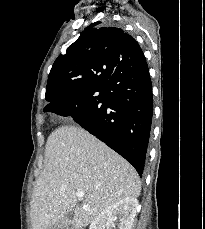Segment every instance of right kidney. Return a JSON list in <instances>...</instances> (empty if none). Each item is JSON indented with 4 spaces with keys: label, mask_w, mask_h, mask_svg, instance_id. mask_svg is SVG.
Listing matches in <instances>:
<instances>
[{
    "label": "right kidney",
    "mask_w": 205,
    "mask_h": 229,
    "mask_svg": "<svg viewBox=\"0 0 205 229\" xmlns=\"http://www.w3.org/2000/svg\"><path fill=\"white\" fill-rule=\"evenodd\" d=\"M138 209L136 198H124L117 201L91 223L89 229H111L114 222L119 220L118 229H132L134 218Z\"/></svg>",
    "instance_id": "1"
}]
</instances>
